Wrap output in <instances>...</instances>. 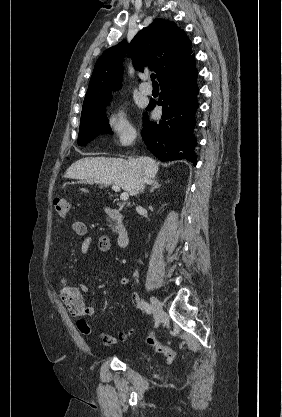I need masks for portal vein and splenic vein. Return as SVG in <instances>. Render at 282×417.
Segmentation results:
<instances>
[{
	"instance_id": "1",
	"label": "portal vein and splenic vein",
	"mask_w": 282,
	"mask_h": 417,
	"mask_svg": "<svg viewBox=\"0 0 282 417\" xmlns=\"http://www.w3.org/2000/svg\"><path fill=\"white\" fill-rule=\"evenodd\" d=\"M91 182H92V180H91ZM112 188H113V190H116V192H119V190H121L120 186H117V184H112ZM120 198H121V200H128V198H129L128 192H121Z\"/></svg>"
}]
</instances>
